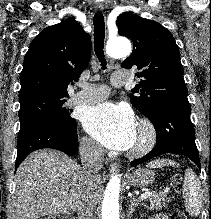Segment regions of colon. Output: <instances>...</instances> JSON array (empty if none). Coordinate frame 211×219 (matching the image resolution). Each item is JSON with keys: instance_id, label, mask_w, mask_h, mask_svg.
I'll return each mask as SVG.
<instances>
[{"instance_id": "5ec220e1", "label": "colon", "mask_w": 211, "mask_h": 219, "mask_svg": "<svg viewBox=\"0 0 211 219\" xmlns=\"http://www.w3.org/2000/svg\"><path fill=\"white\" fill-rule=\"evenodd\" d=\"M174 182L176 185H179L181 183L179 178H175ZM42 219H69V218H66L61 215H55V216L44 217ZM171 219H188V218L182 210H177L176 212L172 214Z\"/></svg>"}]
</instances>
